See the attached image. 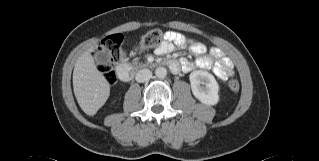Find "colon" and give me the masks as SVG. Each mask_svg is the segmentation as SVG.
I'll return each mask as SVG.
<instances>
[{"label": "colon", "instance_id": "colon-1", "mask_svg": "<svg viewBox=\"0 0 319 161\" xmlns=\"http://www.w3.org/2000/svg\"><path fill=\"white\" fill-rule=\"evenodd\" d=\"M162 42V35L158 29H153L144 34L138 43L140 52H147ZM122 37L119 34L109 37L102 48L100 53L102 55L100 70L109 84L115 82V73L113 63L121 56ZM239 82L236 79H231L229 88L232 92H238Z\"/></svg>", "mask_w": 319, "mask_h": 161}]
</instances>
